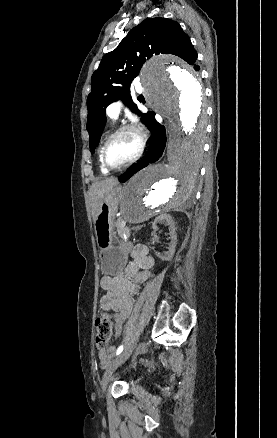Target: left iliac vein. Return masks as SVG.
Instances as JSON below:
<instances>
[{
    "label": "left iliac vein",
    "instance_id": "left-iliac-vein-1",
    "mask_svg": "<svg viewBox=\"0 0 277 438\" xmlns=\"http://www.w3.org/2000/svg\"><path fill=\"white\" fill-rule=\"evenodd\" d=\"M135 346H136V342L129 344L124 349V351L122 353H120V355L112 362V364L105 371V373L102 377V380H101L102 394H104L106 391L107 384H108V381H109L112 373L130 357Z\"/></svg>",
    "mask_w": 277,
    "mask_h": 438
}]
</instances>
